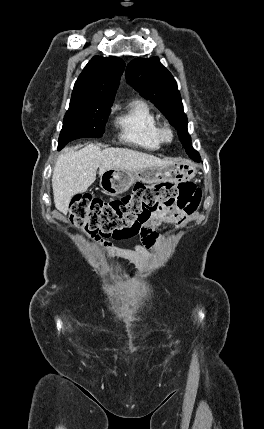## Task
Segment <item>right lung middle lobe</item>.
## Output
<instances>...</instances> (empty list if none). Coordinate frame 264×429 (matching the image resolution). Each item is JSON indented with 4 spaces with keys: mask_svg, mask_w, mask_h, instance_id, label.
<instances>
[{
    "mask_svg": "<svg viewBox=\"0 0 264 429\" xmlns=\"http://www.w3.org/2000/svg\"><path fill=\"white\" fill-rule=\"evenodd\" d=\"M113 101L71 99L59 136L58 149L77 138L102 137Z\"/></svg>",
    "mask_w": 264,
    "mask_h": 429,
    "instance_id": "obj_1",
    "label": "right lung middle lobe"
}]
</instances>
